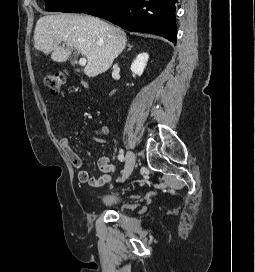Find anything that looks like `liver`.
<instances>
[{"label": "liver", "mask_w": 255, "mask_h": 272, "mask_svg": "<svg viewBox=\"0 0 255 272\" xmlns=\"http://www.w3.org/2000/svg\"><path fill=\"white\" fill-rule=\"evenodd\" d=\"M63 42L64 46H59ZM126 33L97 17L89 15H45L36 24L34 47L51 54L56 62H65L74 47L87 58L84 73L95 77L107 71L124 50Z\"/></svg>", "instance_id": "1"}]
</instances>
